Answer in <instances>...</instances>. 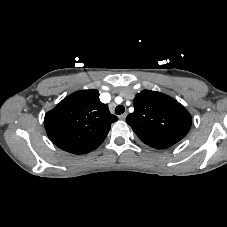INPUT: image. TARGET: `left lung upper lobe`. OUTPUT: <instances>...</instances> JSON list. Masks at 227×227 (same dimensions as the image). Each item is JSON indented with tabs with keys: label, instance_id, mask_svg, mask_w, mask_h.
<instances>
[{
	"label": "left lung upper lobe",
	"instance_id": "1",
	"mask_svg": "<svg viewBox=\"0 0 227 227\" xmlns=\"http://www.w3.org/2000/svg\"><path fill=\"white\" fill-rule=\"evenodd\" d=\"M134 112L126 122L150 147L164 149L179 142L190 130V113L174 98L143 90L134 100Z\"/></svg>",
	"mask_w": 227,
	"mask_h": 227
}]
</instances>
